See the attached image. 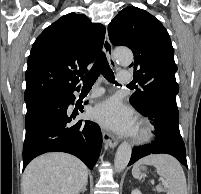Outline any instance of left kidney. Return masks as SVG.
Instances as JSON below:
<instances>
[{"label":"left kidney","mask_w":201,"mask_h":194,"mask_svg":"<svg viewBox=\"0 0 201 194\" xmlns=\"http://www.w3.org/2000/svg\"><path fill=\"white\" fill-rule=\"evenodd\" d=\"M131 194H142L140 190L134 189Z\"/></svg>","instance_id":"5707ae66"}]
</instances>
